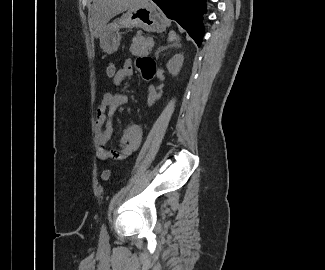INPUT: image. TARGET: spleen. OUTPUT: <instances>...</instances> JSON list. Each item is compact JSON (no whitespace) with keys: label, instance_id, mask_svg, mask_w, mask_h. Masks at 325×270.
I'll use <instances>...</instances> for the list:
<instances>
[{"label":"spleen","instance_id":"obj_1","mask_svg":"<svg viewBox=\"0 0 325 270\" xmlns=\"http://www.w3.org/2000/svg\"><path fill=\"white\" fill-rule=\"evenodd\" d=\"M175 39L176 40L178 39V37L176 36L175 32L174 31H170L168 41L171 42V41H174Z\"/></svg>","mask_w":325,"mask_h":270}]
</instances>
